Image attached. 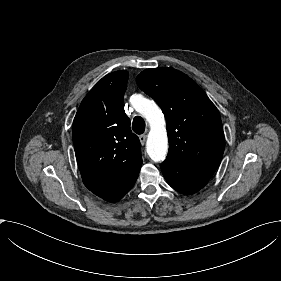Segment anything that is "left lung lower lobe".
Returning <instances> with one entry per match:
<instances>
[{
    "label": "left lung lower lobe",
    "mask_w": 281,
    "mask_h": 281,
    "mask_svg": "<svg viewBox=\"0 0 281 281\" xmlns=\"http://www.w3.org/2000/svg\"><path fill=\"white\" fill-rule=\"evenodd\" d=\"M161 169L173 189L182 194H192L208 183L217 168L190 167L166 159Z\"/></svg>",
    "instance_id": "1"
}]
</instances>
